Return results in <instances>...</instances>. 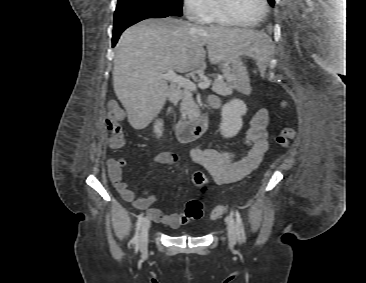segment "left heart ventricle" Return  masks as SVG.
<instances>
[{"mask_svg": "<svg viewBox=\"0 0 366 283\" xmlns=\"http://www.w3.org/2000/svg\"><path fill=\"white\" fill-rule=\"evenodd\" d=\"M232 3L236 15L246 23L254 22L264 11L262 0H233Z\"/></svg>", "mask_w": 366, "mask_h": 283, "instance_id": "left-heart-ventricle-1", "label": "left heart ventricle"}]
</instances>
